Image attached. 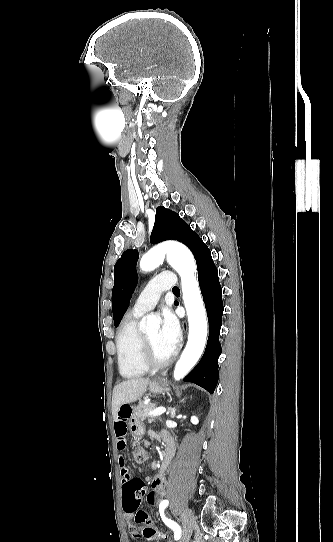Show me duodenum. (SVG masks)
Here are the masks:
<instances>
[{
	"mask_svg": "<svg viewBox=\"0 0 333 542\" xmlns=\"http://www.w3.org/2000/svg\"><path fill=\"white\" fill-rule=\"evenodd\" d=\"M162 440L164 444V452L163 460L159 469L161 474L166 471L174 454V443L172 437L169 434H164Z\"/></svg>",
	"mask_w": 333,
	"mask_h": 542,
	"instance_id": "duodenum-1",
	"label": "duodenum"
}]
</instances>
